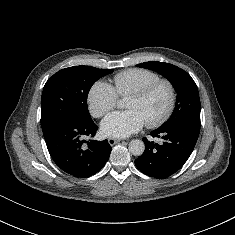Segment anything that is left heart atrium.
Listing matches in <instances>:
<instances>
[{
	"label": "left heart atrium",
	"instance_id": "1",
	"mask_svg": "<svg viewBox=\"0 0 235 235\" xmlns=\"http://www.w3.org/2000/svg\"><path fill=\"white\" fill-rule=\"evenodd\" d=\"M145 124L139 111L129 109L109 114L102 121L101 130L106 136L124 138L138 132Z\"/></svg>",
	"mask_w": 235,
	"mask_h": 235
}]
</instances>
